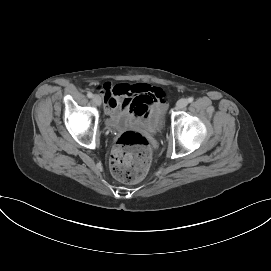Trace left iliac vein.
Segmentation results:
<instances>
[{
	"label": "left iliac vein",
	"mask_w": 271,
	"mask_h": 271,
	"mask_svg": "<svg viewBox=\"0 0 271 271\" xmlns=\"http://www.w3.org/2000/svg\"><path fill=\"white\" fill-rule=\"evenodd\" d=\"M188 105V100L185 98L180 99L177 104H176V108L177 109H183Z\"/></svg>",
	"instance_id": "obj_1"
}]
</instances>
